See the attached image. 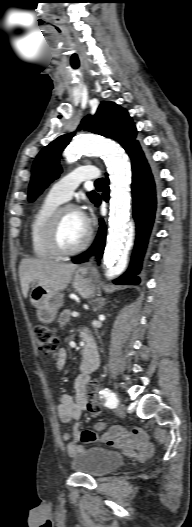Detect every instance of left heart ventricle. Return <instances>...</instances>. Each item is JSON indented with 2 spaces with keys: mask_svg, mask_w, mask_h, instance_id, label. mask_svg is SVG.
<instances>
[{
  "mask_svg": "<svg viewBox=\"0 0 192 527\" xmlns=\"http://www.w3.org/2000/svg\"><path fill=\"white\" fill-rule=\"evenodd\" d=\"M87 233V226L79 213L68 211L64 214L59 228V242L64 248H73L80 244Z\"/></svg>",
  "mask_w": 192,
  "mask_h": 527,
  "instance_id": "1",
  "label": "left heart ventricle"
}]
</instances>
